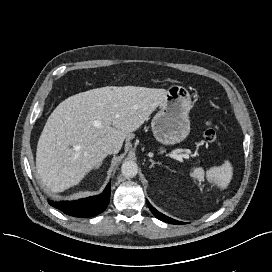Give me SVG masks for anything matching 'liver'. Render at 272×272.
<instances>
[{
	"label": "liver",
	"mask_w": 272,
	"mask_h": 272,
	"mask_svg": "<svg viewBox=\"0 0 272 272\" xmlns=\"http://www.w3.org/2000/svg\"><path fill=\"white\" fill-rule=\"evenodd\" d=\"M167 90L106 86L62 101L49 116L37 145L36 170L53 192L77 185L107 154L104 143L121 149L163 102Z\"/></svg>",
	"instance_id": "6515ba94"
}]
</instances>
